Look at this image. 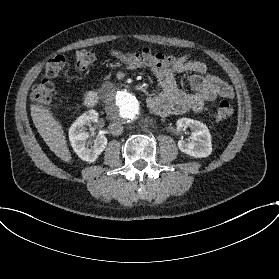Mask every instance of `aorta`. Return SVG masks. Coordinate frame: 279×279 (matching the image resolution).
Returning <instances> with one entry per match:
<instances>
[{"instance_id": "aorta-1", "label": "aorta", "mask_w": 279, "mask_h": 279, "mask_svg": "<svg viewBox=\"0 0 279 279\" xmlns=\"http://www.w3.org/2000/svg\"><path fill=\"white\" fill-rule=\"evenodd\" d=\"M107 114L113 121L133 122L140 114V102L129 91L113 92L107 99Z\"/></svg>"}]
</instances>
